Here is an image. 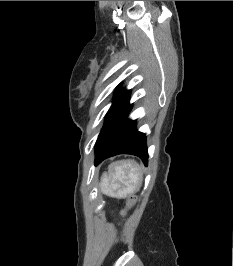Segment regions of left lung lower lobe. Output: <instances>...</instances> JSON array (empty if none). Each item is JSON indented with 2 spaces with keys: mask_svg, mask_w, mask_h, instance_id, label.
Masks as SVG:
<instances>
[{
  "mask_svg": "<svg viewBox=\"0 0 233 266\" xmlns=\"http://www.w3.org/2000/svg\"><path fill=\"white\" fill-rule=\"evenodd\" d=\"M129 96L130 91L121 92L106 115L105 124L96 142V165L117 154L136 155L147 165L145 134L136 130L135 121L127 119L132 107Z\"/></svg>",
  "mask_w": 233,
  "mask_h": 266,
  "instance_id": "1",
  "label": "left lung lower lobe"
}]
</instances>
